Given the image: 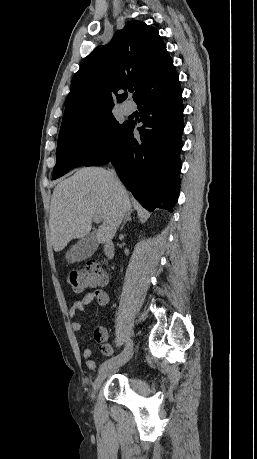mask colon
Returning <instances> with one entry per match:
<instances>
[{
    "label": "colon",
    "mask_w": 257,
    "mask_h": 459,
    "mask_svg": "<svg viewBox=\"0 0 257 459\" xmlns=\"http://www.w3.org/2000/svg\"><path fill=\"white\" fill-rule=\"evenodd\" d=\"M66 279L75 291L83 292L91 286L105 284L108 276L99 262L91 261L84 268L70 270Z\"/></svg>",
    "instance_id": "1"
}]
</instances>
